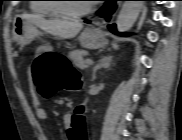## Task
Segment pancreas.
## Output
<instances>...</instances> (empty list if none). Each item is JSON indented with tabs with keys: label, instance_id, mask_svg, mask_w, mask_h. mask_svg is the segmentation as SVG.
I'll return each mask as SVG.
<instances>
[{
	"label": "pancreas",
	"instance_id": "pancreas-1",
	"mask_svg": "<svg viewBox=\"0 0 182 140\" xmlns=\"http://www.w3.org/2000/svg\"><path fill=\"white\" fill-rule=\"evenodd\" d=\"M84 54L85 52L83 50H74L69 53V58L77 67H79L80 69H85L88 67V64L83 59Z\"/></svg>",
	"mask_w": 182,
	"mask_h": 140
}]
</instances>
